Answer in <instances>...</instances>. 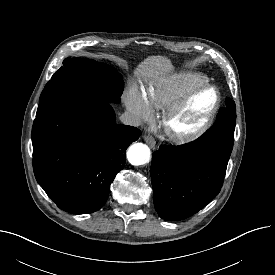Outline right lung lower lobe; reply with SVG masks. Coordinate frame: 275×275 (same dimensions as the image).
Here are the masks:
<instances>
[{
    "instance_id": "1",
    "label": "right lung lower lobe",
    "mask_w": 275,
    "mask_h": 275,
    "mask_svg": "<svg viewBox=\"0 0 275 275\" xmlns=\"http://www.w3.org/2000/svg\"><path fill=\"white\" fill-rule=\"evenodd\" d=\"M141 131L116 124L109 102L68 97L35 118L33 170L37 182L62 210H99L125 165L126 149Z\"/></svg>"
}]
</instances>
